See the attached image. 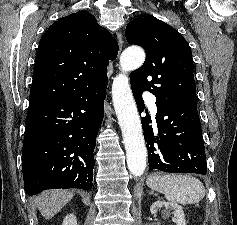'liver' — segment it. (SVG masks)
<instances>
[{"label": "liver", "instance_id": "1", "mask_svg": "<svg viewBox=\"0 0 237 225\" xmlns=\"http://www.w3.org/2000/svg\"><path fill=\"white\" fill-rule=\"evenodd\" d=\"M73 197V192L67 190H47L34 198V202L42 214L49 220L57 214Z\"/></svg>", "mask_w": 237, "mask_h": 225}]
</instances>
